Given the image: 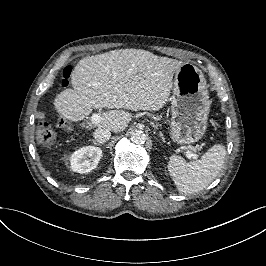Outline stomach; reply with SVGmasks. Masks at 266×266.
<instances>
[{
  "instance_id": "1",
  "label": "stomach",
  "mask_w": 266,
  "mask_h": 266,
  "mask_svg": "<svg viewBox=\"0 0 266 266\" xmlns=\"http://www.w3.org/2000/svg\"><path fill=\"white\" fill-rule=\"evenodd\" d=\"M169 135L172 142L182 145L200 141L207 132L211 101L206 79L194 65L183 64L176 73L170 97Z\"/></svg>"
}]
</instances>
